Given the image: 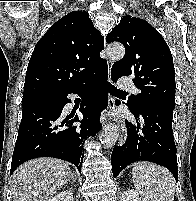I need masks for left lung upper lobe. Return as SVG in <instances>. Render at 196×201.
Segmentation results:
<instances>
[{
  "mask_svg": "<svg viewBox=\"0 0 196 201\" xmlns=\"http://www.w3.org/2000/svg\"><path fill=\"white\" fill-rule=\"evenodd\" d=\"M121 42L125 55L114 63L111 77L133 75V82L141 93L132 95L127 105L138 110L147 103L158 104L174 110L175 71L173 58L161 34L147 21L125 16L112 29L106 42Z\"/></svg>",
  "mask_w": 196,
  "mask_h": 201,
  "instance_id": "obj_1",
  "label": "left lung upper lobe"
}]
</instances>
